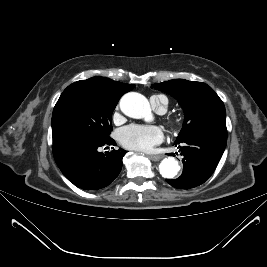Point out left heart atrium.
Here are the masks:
<instances>
[{
  "mask_svg": "<svg viewBox=\"0 0 267 267\" xmlns=\"http://www.w3.org/2000/svg\"><path fill=\"white\" fill-rule=\"evenodd\" d=\"M118 139L128 149L148 152L163 141L164 134L158 126L131 124L119 130Z\"/></svg>",
  "mask_w": 267,
  "mask_h": 267,
  "instance_id": "1",
  "label": "left heart atrium"
}]
</instances>
